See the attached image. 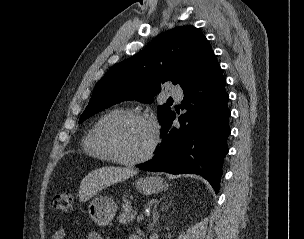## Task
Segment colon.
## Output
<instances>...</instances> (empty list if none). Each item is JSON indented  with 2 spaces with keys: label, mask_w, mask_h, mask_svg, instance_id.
<instances>
[{
  "label": "colon",
  "mask_w": 304,
  "mask_h": 239,
  "mask_svg": "<svg viewBox=\"0 0 304 239\" xmlns=\"http://www.w3.org/2000/svg\"><path fill=\"white\" fill-rule=\"evenodd\" d=\"M73 197L70 193H59L53 196L51 204L54 209L60 212H70L72 209Z\"/></svg>",
  "instance_id": "5ec220e1"
}]
</instances>
